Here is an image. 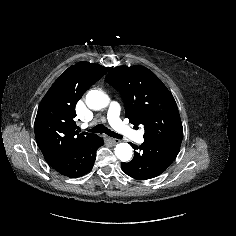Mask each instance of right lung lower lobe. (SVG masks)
Returning a JSON list of instances; mask_svg holds the SVG:
<instances>
[{"label": "right lung lower lobe", "mask_w": 236, "mask_h": 236, "mask_svg": "<svg viewBox=\"0 0 236 236\" xmlns=\"http://www.w3.org/2000/svg\"><path fill=\"white\" fill-rule=\"evenodd\" d=\"M104 145L101 137L95 136L79 147L46 159L47 163L61 175L77 178L88 173L95 161L96 150Z\"/></svg>", "instance_id": "98d812e1"}]
</instances>
